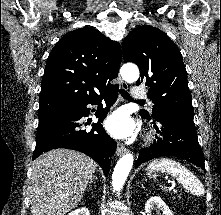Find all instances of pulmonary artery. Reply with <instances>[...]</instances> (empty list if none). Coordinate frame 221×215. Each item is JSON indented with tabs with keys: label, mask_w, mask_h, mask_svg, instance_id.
<instances>
[{
	"label": "pulmonary artery",
	"mask_w": 221,
	"mask_h": 215,
	"mask_svg": "<svg viewBox=\"0 0 221 215\" xmlns=\"http://www.w3.org/2000/svg\"><path fill=\"white\" fill-rule=\"evenodd\" d=\"M131 94H132V98L136 100L143 99L146 97V93L138 87L134 88Z\"/></svg>",
	"instance_id": "e3ab8cb5"
}]
</instances>
